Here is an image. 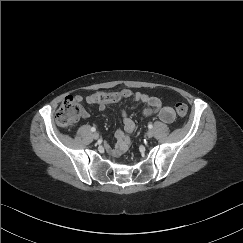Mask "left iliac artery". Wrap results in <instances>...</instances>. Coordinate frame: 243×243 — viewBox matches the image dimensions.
<instances>
[{
  "mask_svg": "<svg viewBox=\"0 0 243 243\" xmlns=\"http://www.w3.org/2000/svg\"><path fill=\"white\" fill-rule=\"evenodd\" d=\"M148 128L149 129H152L153 128V125L152 124H148Z\"/></svg>",
  "mask_w": 243,
  "mask_h": 243,
  "instance_id": "obj_1",
  "label": "left iliac artery"
}]
</instances>
